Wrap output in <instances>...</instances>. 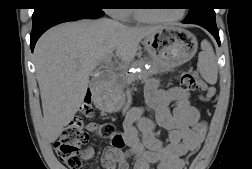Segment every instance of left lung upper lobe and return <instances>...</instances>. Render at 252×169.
I'll return each mask as SVG.
<instances>
[{
	"label": "left lung upper lobe",
	"instance_id": "1",
	"mask_svg": "<svg viewBox=\"0 0 252 169\" xmlns=\"http://www.w3.org/2000/svg\"><path fill=\"white\" fill-rule=\"evenodd\" d=\"M213 0H192L193 7L189 8V13L184 19L185 23H216L215 12L211 3Z\"/></svg>",
	"mask_w": 252,
	"mask_h": 169
}]
</instances>
